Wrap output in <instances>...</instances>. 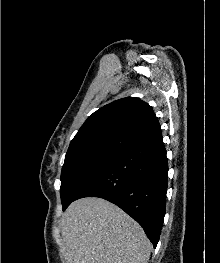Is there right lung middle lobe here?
<instances>
[{"mask_svg":"<svg viewBox=\"0 0 220 263\" xmlns=\"http://www.w3.org/2000/svg\"><path fill=\"white\" fill-rule=\"evenodd\" d=\"M122 150L110 148L82 149L67 152L61 172V201L63 209L76 194Z\"/></svg>","mask_w":220,"mask_h":263,"instance_id":"obj_1","label":"right lung middle lobe"}]
</instances>
